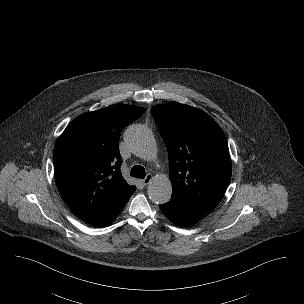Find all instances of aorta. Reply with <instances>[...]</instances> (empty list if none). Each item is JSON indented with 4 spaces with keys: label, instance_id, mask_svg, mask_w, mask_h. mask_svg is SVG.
I'll return each mask as SVG.
<instances>
[{
    "label": "aorta",
    "instance_id": "762f6f07",
    "mask_svg": "<svg viewBox=\"0 0 304 304\" xmlns=\"http://www.w3.org/2000/svg\"><path fill=\"white\" fill-rule=\"evenodd\" d=\"M126 143L131 151L144 160L157 156V146L150 129L143 125L131 126L125 135ZM150 200L156 204L167 203L172 195V184L167 176L155 177L148 185Z\"/></svg>",
    "mask_w": 304,
    "mask_h": 304
}]
</instances>
